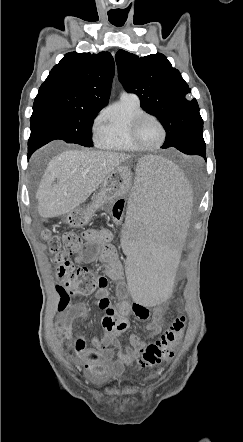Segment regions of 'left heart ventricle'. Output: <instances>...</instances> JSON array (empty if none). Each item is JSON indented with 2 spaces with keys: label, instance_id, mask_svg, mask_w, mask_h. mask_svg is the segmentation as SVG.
Returning a JSON list of instances; mask_svg holds the SVG:
<instances>
[{
  "label": "left heart ventricle",
  "instance_id": "1",
  "mask_svg": "<svg viewBox=\"0 0 243 442\" xmlns=\"http://www.w3.org/2000/svg\"><path fill=\"white\" fill-rule=\"evenodd\" d=\"M137 134L139 140L147 146L156 145L162 138V130L160 126L151 118L142 120L138 126Z\"/></svg>",
  "mask_w": 243,
  "mask_h": 442
}]
</instances>
